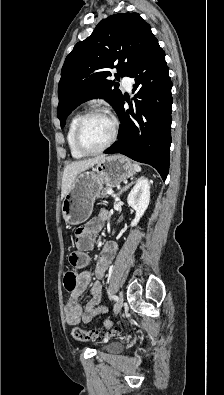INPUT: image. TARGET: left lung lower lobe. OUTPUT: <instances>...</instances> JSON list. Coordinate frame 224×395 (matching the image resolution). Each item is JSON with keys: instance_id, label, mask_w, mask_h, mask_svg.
Listing matches in <instances>:
<instances>
[{"instance_id": "1", "label": "left lung lower lobe", "mask_w": 224, "mask_h": 395, "mask_svg": "<svg viewBox=\"0 0 224 395\" xmlns=\"http://www.w3.org/2000/svg\"><path fill=\"white\" fill-rule=\"evenodd\" d=\"M165 53L153 42L128 76L134 78V104L124 109V98L116 112L121 121L119 139L104 153H120L153 166L166 179L171 145L172 82Z\"/></svg>"}]
</instances>
